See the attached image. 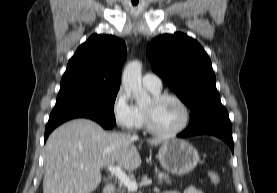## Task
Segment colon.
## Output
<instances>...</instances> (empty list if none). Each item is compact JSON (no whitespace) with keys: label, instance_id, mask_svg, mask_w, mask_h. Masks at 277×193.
Here are the masks:
<instances>
[{"label":"colon","instance_id":"5ec220e1","mask_svg":"<svg viewBox=\"0 0 277 193\" xmlns=\"http://www.w3.org/2000/svg\"><path fill=\"white\" fill-rule=\"evenodd\" d=\"M208 178H209L210 183L214 186H218L221 184V176L216 171H209Z\"/></svg>","mask_w":277,"mask_h":193}]
</instances>
